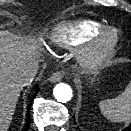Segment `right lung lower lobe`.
I'll return each instance as SVG.
<instances>
[{
  "label": "right lung lower lobe",
  "instance_id": "1",
  "mask_svg": "<svg viewBox=\"0 0 131 131\" xmlns=\"http://www.w3.org/2000/svg\"><path fill=\"white\" fill-rule=\"evenodd\" d=\"M37 93H38V87L36 86L35 87V93L32 96V99H31V101H30V103L28 105V108H27V123H26V127H25L24 131H28V129H29V126H30V108H31V103L34 100V98H35V96H36Z\"/></svg>",
  "mask_w": 131,
  "mask_h": 131
}]
</instances>
